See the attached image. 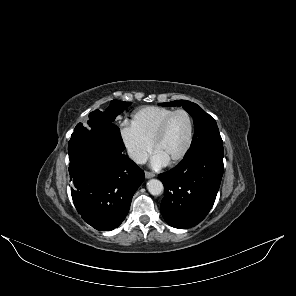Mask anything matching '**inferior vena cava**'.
Returning a JSON list of instances; mask_svg holds the SVG:
<instances>
[{"label": "inferior vena cava", "instance_id": "602c4592", "mask_svg": "<svg viewBox=\"0 0 296 296\" xmlns=\"http://www.w3.org/2000/svg\"><path fill=\"white\" fill-rule=\"evenodd\" d=\"M128 155L138 164H144L147 161V154L135 149H128Z\"/></svg>", "mask_w": 296, "mask_h": 296}]
</instances>
